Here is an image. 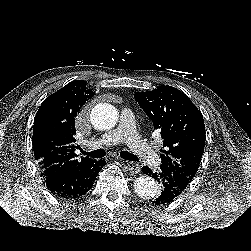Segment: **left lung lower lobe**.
Returning a JSON list of instances; mask_svg holds the SVG:
<instances>
[{
  "label": "left lung lower lobe",
  "instance_id": "left-lung-lower-lobe-1",
  "mask_svg": "<svg viewBox=\"0 0 251 251\" xmlns=\"http://www.w3.org/2000/svg\"><path fill=\"white\" fill-rule=\"evenodd\" d=\"M142 172L154 177L156 180H160L163 187L159 194L154 197L152 203L165 204L177 197L189 184V180L161 164L158 172H153L149 167L144 166Z\"/></svg>",
  "mask_w": 251,
  "mask_h": 251
}]
</instances>
